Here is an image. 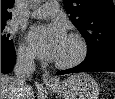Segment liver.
<instances>
[{
	"mask_svg": "<svg viewBox=\"0 0 115 99\" xmlns=\"http://www.w3.org/2000/svg\"><path fill=\"white\" fill-rule=\"evenodd\" d=\"M24 96V99H34V93L30 86ZM14 93V78L8 75L1 74V99H16Z\"/></svg>",
	"mask_w": 115,
	"mask_h": 99,
	"instance_id": "liver-1",
	"label": "liver"
}]
</instances>
